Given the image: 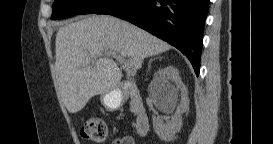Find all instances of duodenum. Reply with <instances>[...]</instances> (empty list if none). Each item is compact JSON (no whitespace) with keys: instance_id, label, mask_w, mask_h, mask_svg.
I'll return each mask as SVG.
<instances>
[{"instance_id":"1","label":"duodenum","mask_w":273,"mask_h":144,"mask_svg":"<svg viewBox=\"0 0 273 144\" xmlns=\"http://www.w3.org/2000/svg\"><path fill=\"white\" fill-rule=\"evenodd\" d=\"M117 91L131 101L135 114V131L137 135L145 136L149 131L150 121L139 88L131 81H123L118 85Z\"/></svg>"}]
</instances>
